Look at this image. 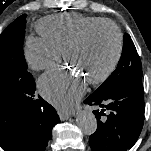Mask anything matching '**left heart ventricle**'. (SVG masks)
<instances>
[{
    "instance_id": "1",
    "label": "left heart ventricle",
    "mask_w": 151,
    "mask_h": 151,
    "mask_svg": "<svg viewBox=\"0 0 151 151\" xmlns=\"http://www.w3.org/2000/svg\"><path fill=\"white\" fill-rule=\"evenodd\" d=\"M115 51V34L109 27H103L92 32L83 45L71 51L68 62L86 80H91L110 65Z\"/></svg>"
}]
</instances>
